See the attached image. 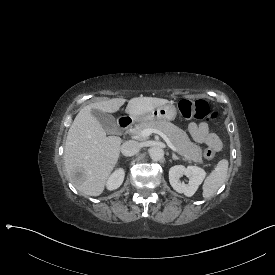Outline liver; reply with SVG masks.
<instances>
[{
	"mask_svg": "<svg viewBox=\"0 0 275 275\" xmlns=\"http://www.w3.org/2000/svg\"><path fill=\"white\" fill-rule=\"evenodd\" d=\"M126 101L112 98L87 104L69 128L64 149L65 169L71 183L84 195L98 197L105 191L124 142L119 136H106L105 129L91 111L117 113ZM167 103L170 101L163 98L135 97L128 101L125 113L137 118ZM77 167L84 172L81 179L72 177V171Z\"/></svg>",
	"mask_w": 275,
	"mask_h": 275,
	"instance_id": "6515ba94",
	"label": "liver"
}]
</instances>
